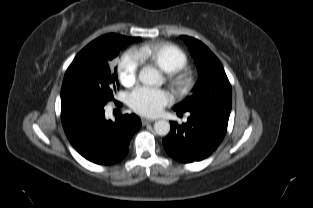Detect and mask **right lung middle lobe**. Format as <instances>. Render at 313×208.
Returning <instances> with one entry per match:
<instances>
[{
  "label": "right lung middle lobe",
  "instance_id": "dd1d6c3e",
  "mask_svg": "<svg viewBox=\"0 0 313 208\" xmlns=\"http://www.w3.org/2000/svg\"><path fill=\"white\" fill-rule=\"evenodd\" d=\"M138 40L139 37L126 39L107 34L92 41L77 54L68 67L61 90L73 87L105 102L113 100L119 82L117 68L113 70L110 64L122 48Z\"/></svg>",
  "mask_w": 313,
  "mask_h": 208
}]
</instances>
